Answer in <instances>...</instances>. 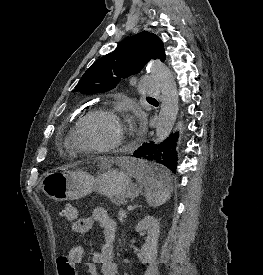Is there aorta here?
Masks as SVG:
<instances>
[{"mask_svg":"<svg viewBox=\"0 0 263 275\" xmlns=\"http://www.w3.org/2000/svg\"><path fill=\"white\" fill-rule=\"evenodd\" d=\"M148 70L162 93V104L155 134V141L160 143L170 135L175 124L178 114V91L173 74L160 60L151 61Z\"/></svg>","mask_w":263,"mask_h":275,"instance_id":"1","label":"aorta"}]
</instances>
